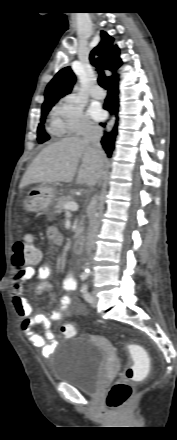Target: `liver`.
Masks as SVG:
<instances>
[{
    "label": "liver",
    "instance_id": "liver-1",
    "mask_svg": "<svg viewBox=\"0 0 177 440\" xmlns=\"http://www.w3.org/2000/svg\"><path fill=\"white\" fill-rule=\"evenodd\" d=\"M104 163V152L89 142L78 137L65 138L38 154L25 172L20 187L35 183H70L76 173L78 184L94 186L102 177Z\"/></svg>",
    "mask_w": 177,
    "mask_h": 440
}]
</instances>
